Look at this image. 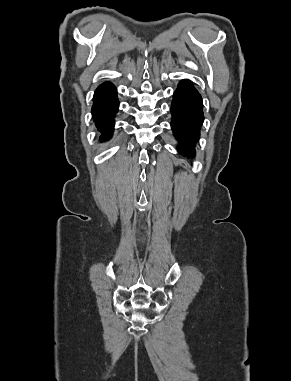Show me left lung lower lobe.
<instances>
[{"mask_svg": "<svg viewBox=\"0 0 291 381\" xmlns=\"http://www.w3.org/2000/svg\"><path fill=\"white\" fill-rule=\"evenodd\" d=\"M203 103L200 94L189 80H182L174 93L171 113V127L179 141V151L187 156L195 155L203 124Z\"/></svg>", "mask_w": 291, "mask_h": 381, "instance_id": "0a47b994", "label": "left lung lower lobe"}]
</instances>
